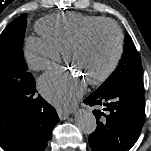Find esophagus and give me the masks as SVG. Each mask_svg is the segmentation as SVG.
<instances>
[{
	"label": "esophagus",
	"instance_id": "1",
	"mask_svg": "<svg viewBox=\"0 0 151 151\" xmlns=\"http://www.w3.org/2000/svg\"><path fill=\"white\" fill-rule=\"evenodd\" d=\"M57 113H58V116L61 120L67 119L70 115V112L62 111V110H58Z\"/></svg>",
	"mask_w": 151,
	"mask_h": 151
}]
</instances>
